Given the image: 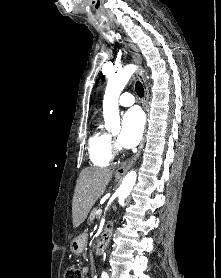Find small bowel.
Returning a JSON list of instances; mask_svg holds the SVG:
<instances>
[{
  "label": "small bowel",
  "mask_w": 221,
  "mask_h": 278,
  "mask_svg": "<svg viewBox=\"0 0 221 278\" xmlns=\"http://www.w3.org/2000/svg\"><path fill=\"white\" fill-rule=\"evenodd\" d=\"M82 272H83V275H84L85 278H89L88 277L89 276V269H88V267H84L82 269Z\"/></svg>",
  "instance_id": "obj_1"
}]
</instances>
